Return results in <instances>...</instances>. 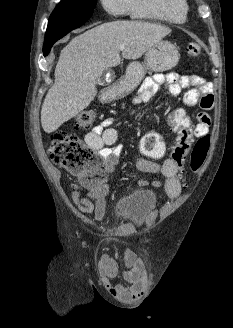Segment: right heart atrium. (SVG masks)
Listing matches in <instances>:
<instances>
[{"label": "right heart atrium", "mask_w": 233, "mask_h": 328, "mask_svg": "<svg viewBox=\"0 0 233 328\" xmlns=\"http://www.w3.org/2000/svg\"><path fill=\"white\" fill-rule=\"evenodd\" d=\"M101 3L112 15H121L127 10V0H101Z\"/></svg>", "instance_id": "1"}]
</instances>
